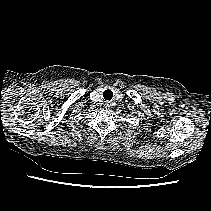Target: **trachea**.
Returning <instances> with one entry per match:
<instances>
[{
	"label": "trachea",
	"mask_w": 211,
	"mask_h": 211,
	"mask_svg": "<svg viewBox=\"0 0 211 211\" xmlns=\"http://www.w3.org/2000/svg\"><path fill=\"white\" fill-rule=\"evenodd\" d=\"M103 97H104V99L105 100H111L112 99V97H113V92L111 91V90H105L104 92H103Z\"/></svg>",
	"instance_id": "3493384b"
}]
</instances>
